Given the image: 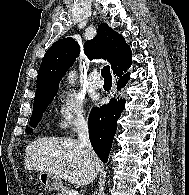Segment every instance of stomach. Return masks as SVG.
Returning a JSON list of instances; mask_svg holds the SVG:
<instances>
[{"label":"stomach","instance_id":"obj_1","mask_svg":"<svg viewBox=\"0 0 189 195\" xmlns=\"http://www.w3.org/2000/svg\"><path fill=\"white\" fill-rule=\"evenodd\" d=\"M37 178L46 190L53 191L61 188L62 182L60 178L50 172L40 171Z\"/></svg>","mask_w":189,"mask_h":195}]
</instances>
